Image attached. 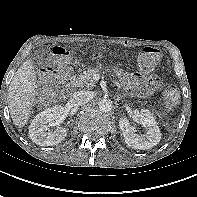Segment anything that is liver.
Instances as JSON below:
<instances>
[{
    "mask_svg": "<svg viewBox=\"0 0 197 197\" xmlns=\"http://www.w3.org/2000/svg\"><path fill=\"white\" fill-rule=\"evenodd\" d=\"M37 94V78L33 63L26 60L15 73L8 90V107L13 123L27 124Z\"/></svg>",
    "mask_w": 197,
    "mask_h": 197,
    "instance_id": "obj_1",
    "label": "liver"
}]
</instances>
